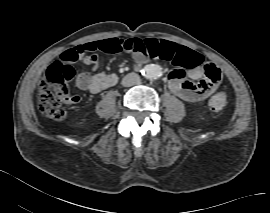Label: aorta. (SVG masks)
<instances>
[{
    "mask_svg": "<svg viewBox=\"0 0 270 213\" xmlns=\"http://www.w3.org/2000/svg\"><path fill=\"white\" fill-rule=\"evenodd\" d=\"M143 75L148 79H156L162 75V68L157 64L146 65L143 69Z\"/></svg>",
    "mask_w": 270,
    "mask_h": 213,
    "instance_id": "obj_1",
    "label": "aorta"
}]
</instances>
